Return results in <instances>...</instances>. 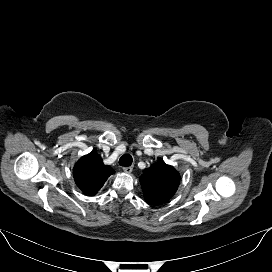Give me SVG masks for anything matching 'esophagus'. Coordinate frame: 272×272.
<instances>
[{"mask_svg":"<svg viewBox=\"0 0 272 272\" xmlns=\"http://www.w3.org/2000/svg\"><path fill=\"white\" fill-rule=\"evenodd\" d=\"M123 170L125 173L130 174L133 170V167L132 166L124 167Z\"/></svg>","mask_w":272,"mask_h":272,"instance_id":"34e87169","label":"esophagus"}]
</instances>
